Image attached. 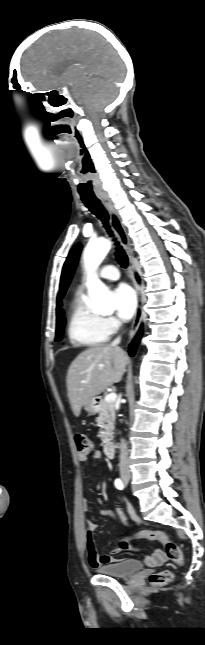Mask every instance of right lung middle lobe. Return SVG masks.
Returning <instances> with one entry per match:
<instances>
[{"instance_id":"right-lung-middle-lobe-1","label":"right lung middle lobe","mask_w":205,"mask_h":645,"mask_svg":"<svg viewBox=\"0 0 205 645\" xmlns=\"http://www.w3.org/2000/svg\"><path fill=\"white\" fill-rule=\"evenodd\" d=\"M64 326H65V318L62 314V316L57 319V329H56V338H55L56 341L61 340Z\"/></svg>"}]
</instances>
